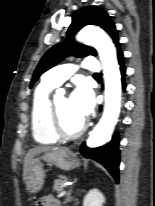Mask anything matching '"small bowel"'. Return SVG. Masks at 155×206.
Instances as JSON below:
<instances>
[{
    "label": "small bowel",
    "mask_w": 155,
    "mask_h": 206,
    "mask_svg": "<svg viewBox=\"0 0 155 206\" xmlns=\"http://www.w3.org/2000/svg\"><path fill=\"white\" fill-rule=\"evenodd\" d=\"M41 206H59V203L54 198L47 197L43 199Z\"/></svg>",
    "instance_id": "c3829d8e"
}]
</instances>
